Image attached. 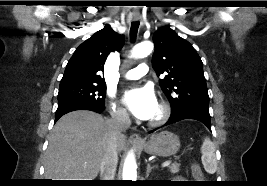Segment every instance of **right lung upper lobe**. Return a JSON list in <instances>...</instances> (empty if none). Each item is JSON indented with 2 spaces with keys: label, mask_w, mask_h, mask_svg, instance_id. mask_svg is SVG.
Instances as JSON below:
<instances>
[{
  "label": "right lung upper lobe",
  "mask_w": 267,
  "mask_h": 186,
  "mask_svg": "<svg viewBox=\"0 0 267 186\" xmlns=\"http://www.w3.org/2000/svg\"><path fill=\"white\" fill-rule=\"evenodd\" d=\"M123 35L109 25L83 42L74 52L65 69L60 86L70 84L105 85L102 76L104 64L110 52L120 51Z\"/></svg>",
  "instance_id": "1"
}]
</instances>
